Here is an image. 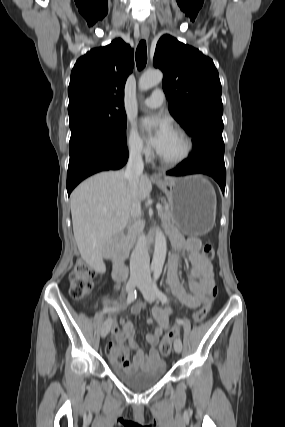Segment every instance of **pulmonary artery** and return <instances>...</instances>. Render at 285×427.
Listing matches in <instances>:
<instances>
[{
	"label": "pulmonary artery",
	"mask_w": 285,
	"mask_h": 427,
	"mask_svg": "<svg viewBox=\"0 0 285 427\" xmlns=\"http://www.w3.org/2000/svg\"><path fill=\"white\" fill-rule=\"evenodd\" d=\"M164 99H165V96L163 91L160 89H156L152 92V94L149 97L145 98L142 101V104L145 107L154 109V108L160 107L164 103Z\"/></svg>",
	"instance_id": "1"
}]
</instances>
